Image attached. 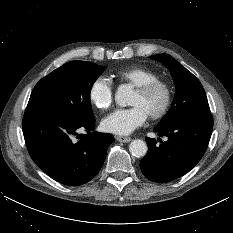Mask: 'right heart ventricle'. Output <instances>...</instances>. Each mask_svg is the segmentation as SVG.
Returning <instances> with one entry per match:
<instances>
[{"mask_svg":"<svg viewBox=\"0 0 233 233\" xmlns=\"http://www.w3.org/2000/svg\"><path fill=\"white\" fill-rule=\"evenodd\" d=\"M114 77L121 81L130 84L133 87H138L149 81L159 79L156 72L143 66H131L117 71Z\"/></svg>","mask_w":233,"mask_h":233,"instance_id":"obj_1","label":"right heart ventricle"}]
</instances>
